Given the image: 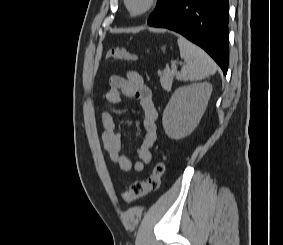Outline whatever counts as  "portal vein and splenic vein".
<instances>
[{"instance_id": "1", "label": "portal vein and splenic vein", "mask_w": 283, "mask_h": 245, "mask_svg": "<svg viewBox=\"0 0 283 245\" xmlns=\"http://www.w3.org/2000/svg\"><path fill=\"white\" fill-rule=\"evenodd\" d=\"M171 68H172L173 70H176V69H177V65H176L175 62H172V63H171Z\"/></svg>"}]
</instances>
